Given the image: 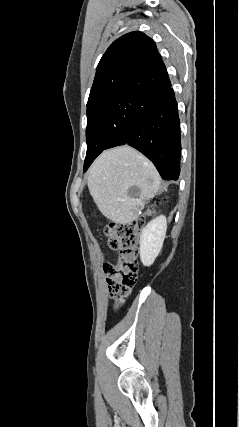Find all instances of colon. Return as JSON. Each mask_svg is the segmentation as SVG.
Masks as SVG:
<instances>
[{
    "label": "colon",
    "instance_id": "5ec220e1",
    "mask_svg": "<svg viewBox=\"0 0 239 427\" xmlns=\"http://www.w3.org/2000/svg\"><path fill=\"white\" fill-rule=\"evenodd\" d=\"M145 220L140 217L129 223H109L104 227V234L109 246L118 252L115 262H105L103 271L110 293L121 304L136 284L138 273V235Z\"/></svg>",
    "mask_w": 239,
    "mask_h": 427
}]
</instances>
